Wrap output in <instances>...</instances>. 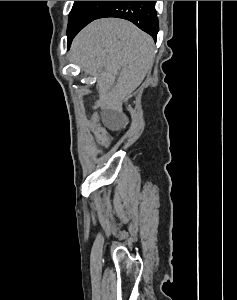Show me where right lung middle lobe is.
Segmentation results:
<instances>
[{"instance_id": "dd1d6c3e", "label": "right lung middle lobe", "mask_w": 237, "mask_h": 300, "mask_svg": "<svg viewBox=\"0 0 237 300\" xmlns=\"http://www.w3.org/2000/svg\"><path fill=\"white\" fill-rule=\"evenodd\" d=\"M112 1H74L69 14L68 45L73 37L88 23L95 20Z\"/></svg>"}]
</instances>
